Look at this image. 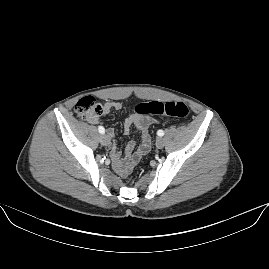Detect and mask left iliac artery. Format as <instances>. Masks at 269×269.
I'll return each instance as SVG.
<instances>
[{"instance_id": "44dca946", "label": "left iliac artery", "mask_w": 269, "mask_h": 269, "mask_svg": "<svg viewBox=\"0 0 269 269\" xmlns=\"http://www.w3.org/2000/svg\"><path fill=\"white\" fill-rule=\"evenodd\" d=\"M157 135L160 136V137H162L164 135V131L163 130H159L157 132Z\"/></svg>"}]
</instances>
